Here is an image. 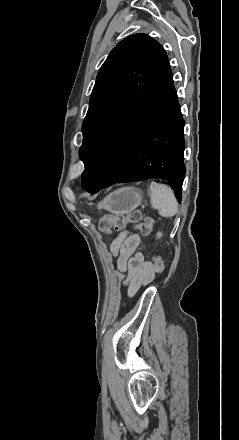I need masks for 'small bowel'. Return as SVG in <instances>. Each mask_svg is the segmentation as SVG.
Wrapping results in <instances>:
<instances>
[{"label": "small bowel", "instance_id": "obj_1", "mask_svg": "<svg viewBox=\"0 0 239 440\" xmlns=\"http://www.w3.org/2000/svg\"><path fill=\"white\" fill-rule=\"evenodd\" d=\"M139 243L140 237L137 234L124 232L119 234L110 246L118 270L126 274L124 284L129 296H133L140 287L149 284L156 272L154 265L145 261L143 254L136 251Z\"/></svg>", "mask_w": 239, "mask_h": 440}]
</instances>
